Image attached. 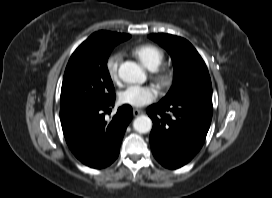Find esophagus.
I'll return each instance as SVG.
<instances>
[{
    "mask_svg": "<svg viewBox=\"0 0 272 198\" xmlns=\"http://www.w3.org/2000/svg\"><path fill=\"white\" fill-rule=\"evenodd\" d=\"M142 113H143V111L140 110V109H133V115H134L135 117L141 115Z\"/></svg>",
    "mask_w": 272,
    "mask_h": 198,
    "instance_id": "esophagus-1",
    "label": "esophagus"
}]
</instances>
